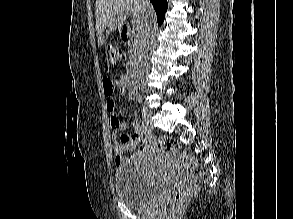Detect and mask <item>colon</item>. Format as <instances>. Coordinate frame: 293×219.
Masks as SVG:
<instances>
[{
	"instance_id": "colon-1",
	"label": "colon",
	"mask_w": 293,
	"mask_h": 219,
	"mask_svg": "<svg viewBox=\"0 0 293 219\" xmlns=\"http://www.w3.org/2000/svg\"><path fill=\"white\" fill-rule=\"evenodd\" d=\"M107 58L110 64H116L124 58V51L122 48L109 44L106 49ZM157 145L164 152L173 155L179 163H181L188 170H195L197 167L196 159L186 152L180 151L178 141L170 136H162L157 139ZM209 180L207 171H201L198 174L195 182H188L177 188L167 199V206L175 208L181 205L187 198H189L198 188L199 184L206 183Z\"/></svg>"
}]
</instances>
